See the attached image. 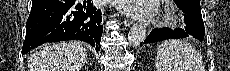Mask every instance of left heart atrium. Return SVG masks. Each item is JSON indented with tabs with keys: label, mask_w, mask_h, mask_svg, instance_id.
Masks as SVG:
<instances>
[{
	"label": "left heart atrium",
	"mask_w": 230,
	"mask_h": 71,
	"mask_svg": "<svg viewBox=\"0 0 230 71\" xmlns=\"http://www.w3.org/2000/svg\"><path fill=\"white\" fill-rule=\"evenodd\" d=\"M117 2L124 12L138 18H147L155 11L154 1L152 0H123Z\"/></svg>",
	"instance_id": "39dd6f15"
}]
</instances>
